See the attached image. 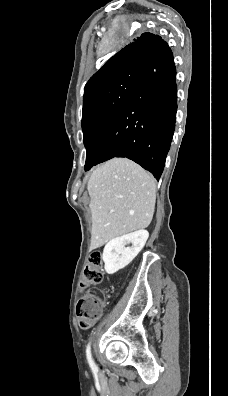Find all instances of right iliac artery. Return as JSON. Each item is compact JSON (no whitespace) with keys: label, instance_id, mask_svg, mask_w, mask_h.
Here are the masks:
<instances>
[{"label":"right iliac artery","instance_id":"1","mask_svg":"<svg viewBox=\"0 0 228 396\" xmlns=\"http://www.w3.org/2000/svg\"><path fill=\"white\" fill-rule=\"evenodd\" d=\"M86 356H87V360H88V363H89L91 369L93 371H95L97 368H96V365H95V363H94V361L92 359L90 343L87 345V348H86Z\"/></svg>","mask_w":228,"mask_h":396}]
</instances>
